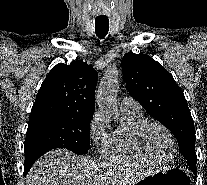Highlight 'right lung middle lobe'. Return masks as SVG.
<instances>
[{
    "label": "right lung middle lobe",
    "mask_w": 207,
    "mask_h": 185,
    "mask_svg": "<svg viewBox=\"0 0 207 185\" xmlns=\"http://www.w3.org/2000/svg\"><path fill=\"white\" fill-rule=\"evenodd\" d=\"M91 120L58 115H30L25 139L27 174L34 162L49 150L66 148L75 154L88 153Z\"/></svg>",
    "instance_id": "right-lung-middle-lobe-1"
}]
</instances>
